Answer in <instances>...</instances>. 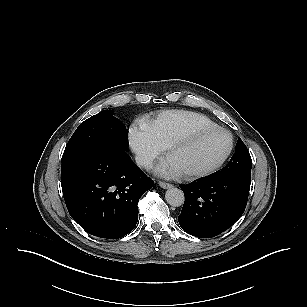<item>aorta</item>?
<instances>
[{"label":"aorta","mask_w":307,"mask_h":307,"mask_svg":"<svg viewBox=\"0 0 307 307\" xmlns=\"http://www.w3.org/2000/svg\"><path fill=\"white\" fill-rule=\"evenodd\" d=\"M165 199L169 205L173 207H179L183 205L185 197L181 189L176 187H171L166 191Z\"/></svg>","instance_id":"aorta-1"}]
</instances>
